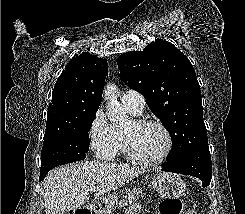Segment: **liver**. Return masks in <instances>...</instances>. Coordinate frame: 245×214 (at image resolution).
Wrapping results in <instances>:
<instances>
[{
    "label": "liver",
    "mask_w": 245,
    "mask_h": 214,
    "mask_svg": "<svg viewBox=\"0 0 245 214\" xmlns=\"http://www.w3.org/2000/svg\"><path fill=\"white\" fill-rule=\"evenodd\" d=\"M144 169L135 166L87 161L58 167L44 182L46 214L76 210L89 200L90 186H96L95 197L116 190Z\"/></svg>",
    "instance_id": "6515ba94"
}]
</instances>
